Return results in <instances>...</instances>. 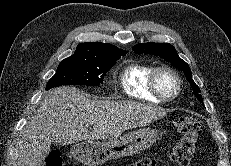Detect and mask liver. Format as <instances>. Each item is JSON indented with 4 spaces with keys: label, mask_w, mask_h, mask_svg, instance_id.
<instances>
[{
    "label": "liver",
    "mask_w": 231,
    "mask_h": 166,
    "mask_svg": "<svg viewBox=\"0 0 231 166\" xmlns=\"http://www.w3.org/2000/svg\"><path fill=\"white\" fill-rule=\"evenodd\" d=\"M167 110L133 101L93 100L75 87L49 91L19 141V166H42L52 143L115 139L124 131L149 125ZM93 127L89 132L88 127Z\"/></svg>",
    "instance_id": "obj_1"
}]
</instances>
